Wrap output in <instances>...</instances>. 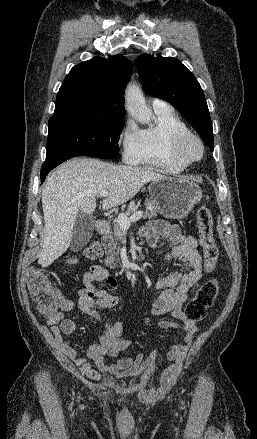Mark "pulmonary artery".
<instances>
[{
    "label": "pulmonary artery",
    "instance_id": "obj_1",
    "mask_svg": "<svg viewBox=\"0 0 257 439\" xmlns=\"http://www.w3.org/2000/svg\"><path fill=\"white\" fill-rule=\"evenodd\" d=\"M152 106H153L154 111H160V110H164V109L169 108V105L165 101H162L159 99H154Z\"/></svg>",
    "mask_w": 257,
    "mask_h": 439
}]
</instances>
